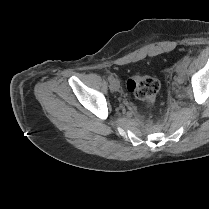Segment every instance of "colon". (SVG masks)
Wrapping results in <instances>:
<instances>
[{"instance_id":"1","label":"colon","mask_w":209,"mask_h":209,"mask_svg":"<svg viewBox=\"0 0 209 209\" xmlns=\"http://www.w3.org/2000/svg\"><path fill=\"white\" fill-rule=\"evenodd\" d=\"M127 88L137 99L153 104L156 101L160 83L154 77L134 75L127 81Z\"/></svg>"}]
</instances>
